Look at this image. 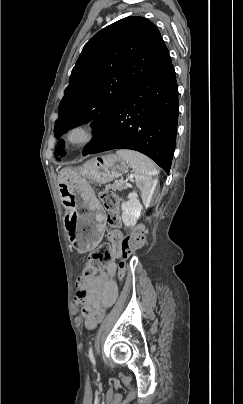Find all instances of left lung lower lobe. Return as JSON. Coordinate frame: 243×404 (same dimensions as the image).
Listing matches in <instances>:
<instances>
[{
	"label": "left lung lower lobe",
	"instance_id": "1",
	"mask_svg": "<svg viewBox=\"0 0 243 404\" xmlns=\"http://www.w3.org/2000/svg\"><path fill=\"white\" fill-rule=\"evenodd\" d=\"M178 108V86L169 56L117 105L83 155L132 149L149 156L168 174L175 149Z\"/></svg>",
	"mask_w": 243,
	"mask_h": 404
}]
</instances>
